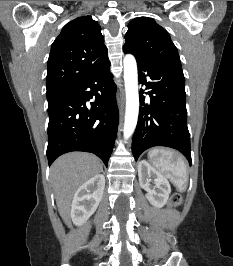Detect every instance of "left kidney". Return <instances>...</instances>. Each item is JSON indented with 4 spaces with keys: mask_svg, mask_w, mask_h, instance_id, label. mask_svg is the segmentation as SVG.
I'll list each match as a JSON object with an SVG mask.
<instances>
[{
    "mask_svg": "<svg viewBox=\"0 0 233 266\" xmlns=\"http://www.w3.org/2000/svg\"><path fill=\"white\" fill-rule=\"evenodd\" d=\"M139 184L146 192V198L156 208L163 207L171 193L168 180L146 160L138 164Z\"/></svg>",
    "mask_w": 233,
    "mask_h": 266,
    "instance_id": "left-kidney-1",
    "label": "left kidney"
}]
</instances>
